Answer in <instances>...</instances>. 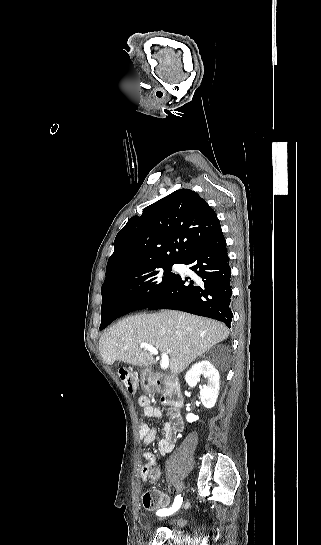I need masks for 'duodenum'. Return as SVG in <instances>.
I'll use <instances>...</instances> for the list:
<instances>
[{"mask_svg":"<svg viewBox=\"0 0 321 545\" xmlns=\"http://www.w3.org/2000/svg\"><path fill=\"white\" fill-rule=\"evenodd\" d=\"M145 377L148 385L161 393V399L164 403L170 405L175 410L183 405V397L177 384L170 378L164 377L153 371H147Z\"/></svg>","mask_w":321,"mask_h":545,"instance_id":"1","label":"duodenum"}]
</instances>
